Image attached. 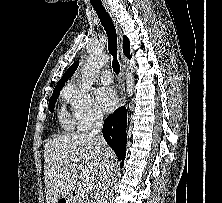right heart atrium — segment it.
Listing matches in <instances>:
<instances>
[{
  "label": "right heart atrium",
  "instance_id": "1",
  "mask_svg": "<svg viewBox=\"0 0 222 203\" xmlns=\"http://www.w3.org/2000/svg\"><path fill=\"white\" fill-rule=\"evenodd\" d=\"M66 98L71 105L74 122L79 129H90L102 120L103 114L89 93L73 87L67 90Z\"/></svg>",
  "mask_w": 222,
  "mask_h": 203
}]
</instances>
